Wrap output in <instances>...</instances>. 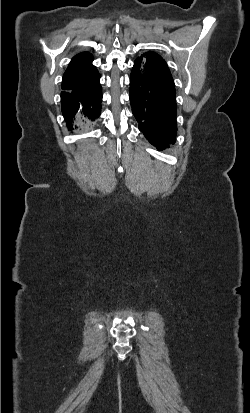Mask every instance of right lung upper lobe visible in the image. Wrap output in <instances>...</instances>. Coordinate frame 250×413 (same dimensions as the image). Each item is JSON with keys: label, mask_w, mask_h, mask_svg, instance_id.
<instances>
[{"label": "right lung upper lobe", "mask_w": 250, "mask_h": 413, "mask_svg": "<svg viewBox=\"0 0 250 413\" xmlns=\"http://www.w3.org/2000/svg\"><path fill=\"white\" fill-rule=\"evenodd\" d=\"M92 61L93 56L88 52L73 57L63 75L62 84L75 85L89 79L97 71Z\"/></svg>", "instance_id": "obj_1"}]
</instances>
